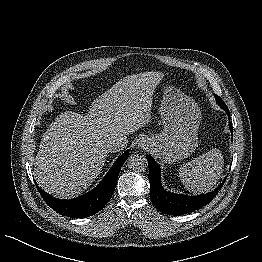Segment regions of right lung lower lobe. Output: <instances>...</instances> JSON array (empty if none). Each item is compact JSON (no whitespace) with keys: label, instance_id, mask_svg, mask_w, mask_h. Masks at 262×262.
I'll return each mask as SVG.
<instances>
[{"label":"right lung lower lobe","instance_id":"98d812e1","mask_svg":"<svg viewBox=\"0 0 262 262\" xmlns=\"http://www.w3.org/2000/svg\"><path fill=\"white\" fill-rule=\"evenodd\" d=\"M128 157L129 150L125 151L115 161L104 179L96 188L71 200L57 199L43 191L37 185L36 186L47 205L59 214L72 218L89 217L103 209L111 199L120 169Z\"/></svg>","mask_w":262,"mask_h":262}]
</instances>
